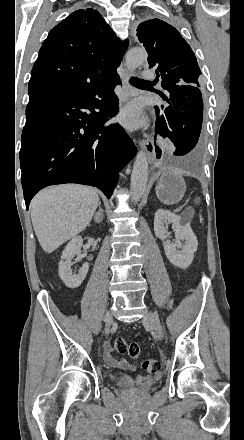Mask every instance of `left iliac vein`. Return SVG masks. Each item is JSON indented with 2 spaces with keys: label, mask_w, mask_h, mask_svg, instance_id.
<instances>
[{
  "label": "left iliac vein",
  "mask_w": 244,
  "mask_h": 440,
  "mask_svg": "<svg viewBox=\"0 0 244 440\" xmlns=\"http://www.w3.org/2000/svg\"><path fill=\"white\" fill-rule=\"evenodd\" d=\"M143 323L149 324L154 329V331L157 334L158 340L163 339L164 333H163V329H162V326L159 322V318L157 315H155L151 312H147L143 318Z\"/></svg>",
  "instance_id": "4c4485c4"
}]
</instances>
